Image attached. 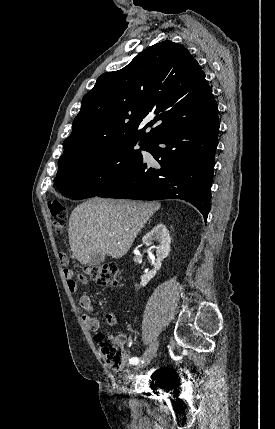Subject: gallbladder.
Segmentation results:
<instances>
[{
	"mask_svg": "<svg viewBox=\"0 0 275 429\" xmlns=\"http://www.w3.org/2000/svg\"><path fill=\"white\" fill-rule=\"evenodd\" d=\"M105 260V255L97 253L92 255L90 261H89V265L90 266H98L100 265L103 261Z\"/></svg>",
	"mask_w": 275,
	"mask_h": 429,
	"instance_id": "bac80fb5",
	"label": "gallbladder"
}]
</instances>
